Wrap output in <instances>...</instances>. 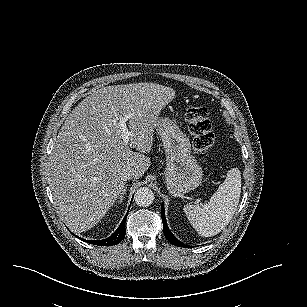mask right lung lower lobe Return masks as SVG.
Returning <instances> with one entry per match:
<instances>
[{
  "mask_svg": "<svg viewBox=\"0 0 307 307\" xmlns=\"http://www.w3.org/2000/svg\"><path fill=\"white\" fill-rule=\"evenodd\" d=\"M127 216V214H126ZM126 216L124 217V219L122 220L121 224L119 225V227L117 228V230L108 238L103 239V240H86V239H82L78 236H76L77 238L81 239L84 242L87 243H91L94 245H98V246H112V245H116L119 242H121L125 236V221H126Z\"/></svg>",
  "mask_w": 307,
  "mask_h": 307,
  "instance_id": "obj_1",
  "label": "right lung lower lobe"
}]
</instances>
